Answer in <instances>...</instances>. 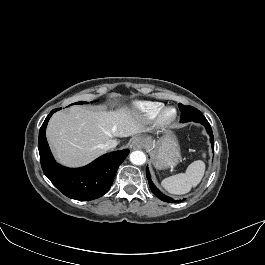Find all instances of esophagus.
Instances as JSON below:
<instances>
[{
	"label": "esophagus",
	"mask_w": 265,
	"mask_h": 265,
	"mask_svg": "<svg viewBox=\"0 0 265 265\" xmlns=\"http://www.w3.org/2000/svg\"><path fill=\"white\" fill-rule=\"evenodd\" d=\"M144 145L143 140L140 137H134L131 140L130 146L134 149H138Z\"/></svg>",
	"instance_id": "34e87169"
}]
</instances>
